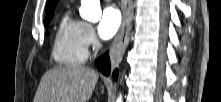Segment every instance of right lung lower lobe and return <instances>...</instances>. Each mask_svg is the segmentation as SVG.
Returning <instances> with one entry per match:
<instances>
[{"label": "right lung lower lobe", "instance_id": "98d812e1", "mask_svg": "<svg viewBox=\"0 0 221 102\" xmlns=\"http://www.w3.org/2000/svg\"><path fill=\"white\" fill-rule=\"evenodd\" d=\"M98 69L104 74L109 75L110 73V61L108 53L104 54L101 58L96 61ZM118 77L117 70L113 72V78L116 80Z\"/></svg>", "mask_w": 221, "mask_h": 102}]
</instances>
